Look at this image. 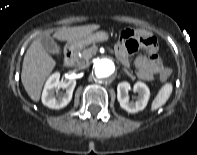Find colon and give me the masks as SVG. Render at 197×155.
<instances>
[{
	"mask_svg": "<svg viewBox=\"0 0 197 155\" xmlns=\"http://www.w3.org/2000/svg\"><path fill=\"white\" fill-rule=\"evenodd\" d=\"M121 38H126L129 41V48L131 51L139 49L141 46H148L150 43H156V39L153 37L135 38L132 30L126 29L122 32ZM171 74V70L166 68L162 75L161 80L165 81Z\"/></svg>",
	"mask_w": 197,
	"mask_h": 155,
	"instance_id": "obj_1",
	"label": "colon"
}]
</instances>
